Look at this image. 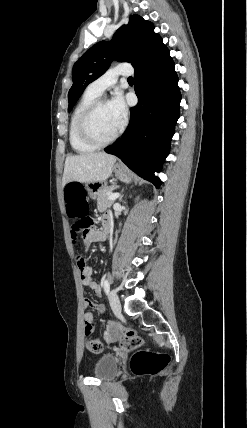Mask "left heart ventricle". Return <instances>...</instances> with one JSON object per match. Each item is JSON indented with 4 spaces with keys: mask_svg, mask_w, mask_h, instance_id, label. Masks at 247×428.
<instances>
[{
    "mask_svg": "<svg viewBox=\"0 0 247 428\" xmlns=\"http://www.w3.org/2000/svg\"><path fill=\"white\" fill-rule=\"evenodd\" d=\"M90 128L99 140L110 138L118 129L117 124L109 113L107 104L100 106L94 112L90 120Z\"/></svg>",
    "mask_w": 247,
    "mask_h": 428,
    "instance_id": "1",
    "label": "left heart ventricle"
}]
</instances>
